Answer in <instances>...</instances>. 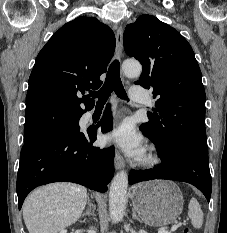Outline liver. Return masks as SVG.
Wrapping results in <instances>:
<instances>
[{"mask_svg": "<svg viewBox=\"0 0 227 233\" xmlns=\"http://www.w3.org/2000/svg\"><path fill=\"white\" fill-rule=\"evenodd\" d=\"M87 199V189L76 184L40 187L23 204L25 225L29 233H58L81 217Z\"/></svg>", "mask_w": 227, "mask_h": 233, "instance_id": "6515ba94", "label": "liver"}]
</instances>
